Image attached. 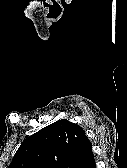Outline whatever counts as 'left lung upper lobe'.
Segmentation results:
<instances>
[{
    "label": "left lung upper lobe",
    "instance_id": "left-lung-upper-lobe-1",
    "mask_svg": "<svg viewBox=\"0 0 127 168\" xmlns=\"http://www.w3.org/2000/svg\"><path fill=\"white\" fill-rule=\"evenodd\" d=\"M88 141L80 126L58 120L26 138L8 168H77Z\"/></svg>",
    "mask_w": 127,
    "mask_h": 168
}]
</instances>
